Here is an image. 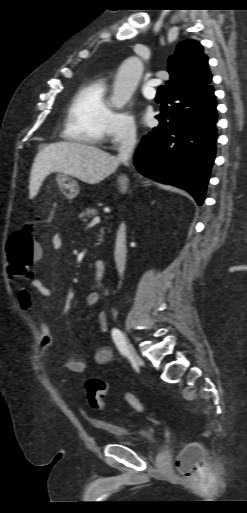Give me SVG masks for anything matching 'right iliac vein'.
I'll return each mask as SVG.
<instances>
[{
  "mask_svg": "<svg viewBox=\"0 0 247 513\" xmlns=\"http://www.w3.org/2000/svg\"><path fill=\"white\" fill-rule=\"evenodd\" d=\"M124 338H125V341H126V345H127V348H128V351H129V354L132 356L134 362L141 366L143 365V361L142 359L140 358V356L137 354L135 348L133 347V345L131 344L130 340L128 339V337L126 336V334H124Z\"/></svg>",
  "mask_w": 247,
  "mask_h": 513,
  "instance_id": "obj_1",
  "label": "right iliac vein"
}]
</instances>
